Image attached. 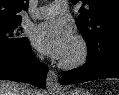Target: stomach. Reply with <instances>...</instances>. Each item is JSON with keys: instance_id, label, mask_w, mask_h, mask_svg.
Listing matches in <instances>:
<instances>
[{"instance_id": "obj_1", "label": "stomach", "mask_w": 119, "mask_h": 95, "mask_svg": "<svg viewBox=\"0 0 119 95\" xmlns=\"http://www.w3.org/2000/svg\"><path fill=\"white\" fill-rule=\"evenodd\" d=\"M62 95H91V94L83 89H74V90L66 91Z\"/></svg>"}]
</instances>
